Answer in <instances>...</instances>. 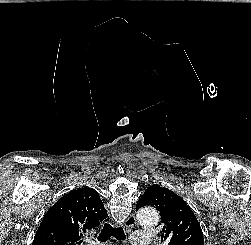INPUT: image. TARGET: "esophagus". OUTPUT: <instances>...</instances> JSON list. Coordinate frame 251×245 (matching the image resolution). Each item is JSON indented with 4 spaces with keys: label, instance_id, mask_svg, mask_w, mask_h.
Segmentation results:
<instances>
[{
    "label": "esophagus",
    "instance_id": "esophagus-1",
    "mask_svg": "<svg viewBox=\"0 0 251 245\" xmlns=\"http://www.w3.org/2000/svg\"><path fill=\"white\" fill-rule=\"evenodd\" d=\"M136 224V217L134 214H131L125 221L124 226L126 228L132 227Z\"/></svg>",
    "mask_w": 251,
    "mask_h": 245
}]
</instances>
